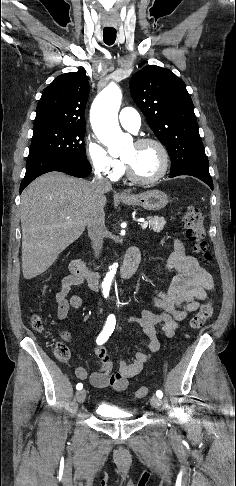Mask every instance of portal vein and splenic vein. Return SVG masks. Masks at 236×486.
I'll return each mask as SVG.
<instances>
[{
    "instance_id": "obj_1",
    "label": "portal vein and splenic vein",
    "mask_w": 236,
    "mask_h": 486,
    "mask_svg": "<svg viewBox=\"0 0 236 486\" xmlns=\"http://www.w3.org/2000/svg\"><path fill=\"white\" fill-rule=\"evenodd\" d=\"M142 229L145 230L147 227H148V222L145 221L142 225H141Z\"/></svg>"
}]
</instances>
